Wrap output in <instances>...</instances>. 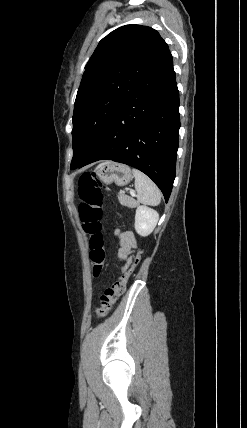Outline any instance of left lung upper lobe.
<instances>
[{
  "label": "left lung upper lobe",
  "instance_id": "5c2ea615",
  "mask_svg": "<svg viewBox=\"0 0 247 428\" xmlns=\"http://www.w3.org/2000/svg\"><path fill=\"white\" fill-rule=\"evenodd\" d=\"M171 58L168 45L147 26L125 25L99 42L75 100L71 167L86 159L123 100Z\"/></svg>",
  "mask_w": 247,
  "mask_h": 428
}]
</instances>
